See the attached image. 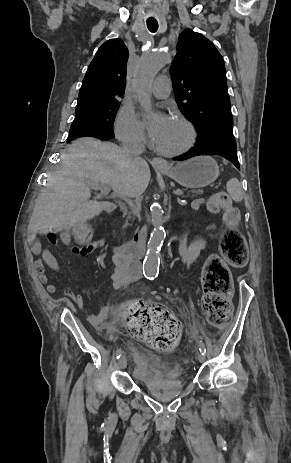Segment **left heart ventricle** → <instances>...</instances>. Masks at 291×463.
<instances>
[{
  "label": "left heart ventricle",
  "instance_id": "left-heart-ventricle-1",
  "mask_svg": "<svg viewBox=\"0 0 291 463\" xmlns=\"http://www.w3.org/2000/svg\"><path fill=\"white\" fill-rule=\"evenodd\" d=\"M186 138V131L183 126L174 120L171 128L157 145L162 150H172L183 144Z\"/></svg>",
  "mask_w": 291,
  "mask_h": 463
}]
</instances>
